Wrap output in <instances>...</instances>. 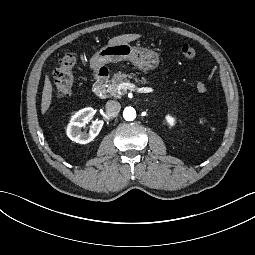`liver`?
<instances>
[{
  "instance_id": "obj_1",
  "label": "liver",
  "mask_w": 255,
  "mask_h": 255,
  "mask_svg": "<svg viewBox=\"0 0 255 255\" xmlns=\"http://www.w3.org/2000/svg\"><path fill=\"white\" fill-rule=\"evenodd\" d=\"M143 37L142 34H123L116 36L108 41L109 46L119 45L124 43H130L135 40ZM52 93H53V85L49 79V76H46L44 88L42 92V100H41V114L44 115L49 109L52 102Z\"/></svg>"
}]
</instances>
